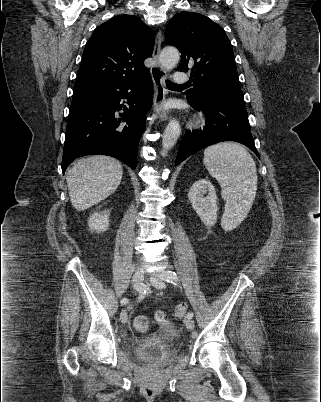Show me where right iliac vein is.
Wrapping results in <instances>:
<instances>
[{
	"label": "right iliac vein",
	"mask_w": 321,
	"mask_h": 402,
	"mask_svg": "<svg viewBox=\"0 0 321 402\" xmlns=\"http://www.w3.org/2000/svg\"><path fill=\"white\" fill-rule=\"evenodd\" d=\"M143 278H144V273L141 269L135 271V273L133 274V279H132V282L135 285V287L139 286V284L143 281ZM120 319H121L122 323L127 322V312L125 309L122 310V312L120 314Z\"/></svg>",
	"instance_id": "63e3f726"
}]
</instances>
